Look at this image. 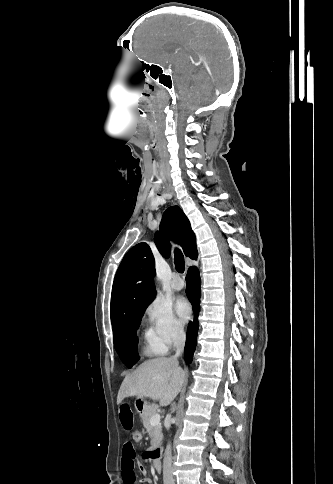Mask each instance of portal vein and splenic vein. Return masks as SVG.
I'll return each instance as SVG.
<instances>
[{"mask_svg":"<svg viewBox=\"0 0 333 484\" xmlns=\"http://www.w3.org/2000/svg\"><path fill=\"white\" fill-rule=\"evenodd\" d=\"M160 423V414L156 413L154 415H152V417L150 418V424L152 426L154 425H157Z\"/></svg>","mask_w":333,"mask_h":484,"instance_id":"obj_1","label":"portal vein and splenic vein"}]
</instances>
